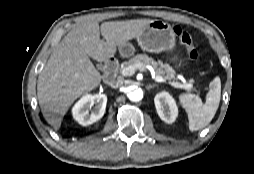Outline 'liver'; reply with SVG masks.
I'll list each match as a JSON object with an SVG mask.
<instances>
[{
	"instance_id": "liver-1",
	"label": "liver",
	"mask_w": 254,
	"mask_h": 174,
	"mask_svg": "<svg viewBox=\"0 0 254 174\" xmlns=\"http://www.w3.org/2000/svg\"><path fill=\"white\" fill-rule=\"evenodd\" d=\"M152 21H111L100 27L98 22L90 21L73 28L57 45L38 77L37 96L46 121L59 129L72 103L100 84L102 76L90 57L106 61L114 56L117 47L137 38Z\"/></svg>"
}]
</instances>
